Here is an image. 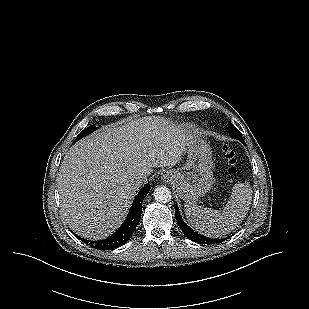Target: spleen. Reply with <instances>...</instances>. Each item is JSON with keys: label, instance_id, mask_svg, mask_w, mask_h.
Here are the masks:
<instances>
[{"label": "spleen", "instance_id": "obj_1", "mask_svg": "<svg viewBox=\"0 0 309 309\" xmlns=\"http://www.w3.org/2000/svg\"><path fill=\"white\" fill-rule=\"evenodd\" d=\"M252 200L248 184L236 183L223 211L185 204V214L190 225L208 237H221L233 231L246 217Z\"/></svg>", "mask_w": 309, "mask_h": 309}]
</instances>
